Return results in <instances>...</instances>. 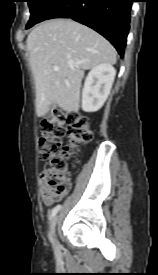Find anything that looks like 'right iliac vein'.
Returning <instances> with one entry per match:
<instances>
[{"instance_id": "1", "label": "right iliac vein", "mask_w": 158, "mask_h": 275, "mask_svg": "<svg viewBox=\"0 0 158 275\" xmlns=\"http://www.w3.org/2000/svg\"><path fill=\"white\" fill-rule=\"evenodd\" d=\"M57 221H58V217L56 216V217H54V219L51 222L50 228H51V233L53 236H55V229H56Z\"/></svg>"}]
</instances>
